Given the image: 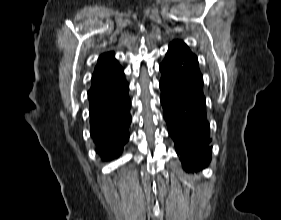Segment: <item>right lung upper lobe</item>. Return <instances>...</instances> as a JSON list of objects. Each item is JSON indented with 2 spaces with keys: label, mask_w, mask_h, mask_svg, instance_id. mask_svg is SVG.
Here are the masks:
<instances>
[{
  "label": "right lung upper lobe",
  "mask_w": 281,
  "mask_h": 220,
  "mask_svg": "<svg viewBox=\"0 0 281 220\" xmlns=\"http://www.w3.org/2000/svg\"><path fill=\"white\" fill-rule=\"evenodd\" d=\"M114 53L102 54L92 75L90 90L112 87L124 80L123 68L113 57Z\"/></svg>",
  "instance_id": "right-lung-upper-lobe-1"
}]
</instances>
